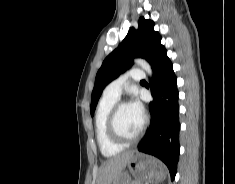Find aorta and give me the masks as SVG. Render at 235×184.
Wrapping results in <instances>:
<instances>
[{
  "label": "aorta",
  "instance_id": "aorta-1",
  "mask_svg": "<svg viewBox=\"0 0 235 184\" xmlns=\"http://www.w3.org/2000/svg\"><path fill=\"white\" fill-rule=\"evenodd\" d=\"M134 62L137 64V66H140L144 72H147L149 76H152L151 66L148 64V62H146V60H134Z\"/></svg>",
  "mask_w": 235,
  "mask_h": 184
}]
</instances>
